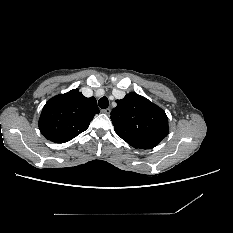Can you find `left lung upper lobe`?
I'll use <instances>...</instances> for the list:
<instances>
[{
    "mask_svg": "<svg viewBox=\"0 0 233 233\" xmlns=\"http://www.w3.org/2000/svg\"><path fill=\"white\" fill-rule=\"evenodd\" d=\"M111 112L116 134L134 148L157 146L169 133L166 113L145 97L129 93Z\"/></svg>",
    "mask_w": 233,
    "mask_h": 233,
    "instance_id": "left-lung-upper-lobe-1",
    "label": "left lung upper lobe"
}]
</instances>
